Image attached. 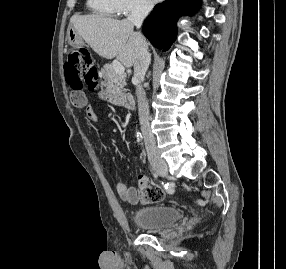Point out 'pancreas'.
Masks as SVG:
<instances>
[{"mask_svg": "<svg viewBox=\"0 0 286 269\" xmlns=\"http://www.w3.org/2000/svg\"><path fill=\"white\" fill-rule=\"evenodd\" d=\"M104 81L101 83L103 95L111 103H117L123 96L126 85V74L117 73L112 64H106L101 69Z\"/></svg>", "mask_w": 286, "mask_h": 269, "instance_id": "1", "label": "pancreas"}]
</instances>
